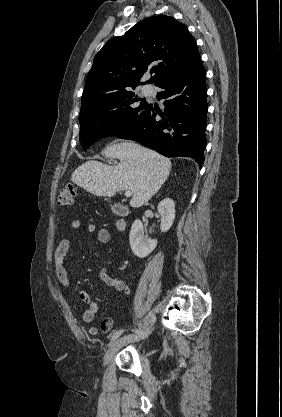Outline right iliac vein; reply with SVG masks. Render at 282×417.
Segmentation results:
<instances>
[{
  "mask_svg": "<svg viewBox=\"0 0 282 417\" xmlns=\"http://www.w3.org/2000/svg\"><path fill=\"white\" fill-rule=\"evenodd\" d=\"M150 328L146 329L145 331H140L136 334H132V335H126L124 337H121L119 339H117L116 341H114L113 343H111V345L109 346L107 352L105 353L104 356V362L103 364L106 365L108 364V362L112 359V357L126 344L132 342V341H136L139 340L141 338L146 337L149 333H150Z\"/></svg>",
  "mask_w": 282,
  "mask_h": 417,
  "instance_id": "right-iliac-vein-1",
  "label": "right iliac vein"
}]
</instances>
